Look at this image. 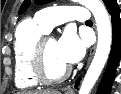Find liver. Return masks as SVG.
I'll return each mask as SVG.
<instances>
[{
  "label": "liver",
  "instance_id": "1",
  "mask_svg": "<svg viewBox=\"0 0 121 94\" xmlns=\"http://www.w3.org/2000/svg\"><path fill=\"white\" fill-rule=\"evenodd\" d=\"M22 94H61V93L57 90H44V91L25 92Z\"/></svg>",
  "mask_w": 121,
  "mask_h": 94
}]
</instances>
